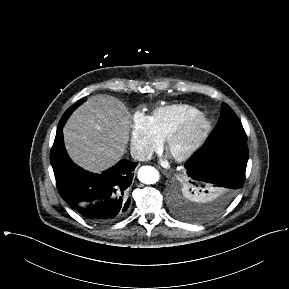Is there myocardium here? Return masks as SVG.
<instances>
[{"instance_id":"myocardium-1","label":"myocardium","mask_w":289,"mask_h":289,"mask_svg":"<svg viewBox=\"0 0 289 289\" xmlns=\"http://www.w3.org/2000/svg\"><path fill=\"white\" fill-rule=\"evenodd\" d=\"M196 128L197 130L194 132ZM211 128L212 122L204 113L195 114L186 119L166 139V149L176 160L185 161L202 147ZM179 144H184V146L179 151H175Z\"/></svg>"}]
</instances>
